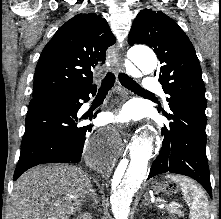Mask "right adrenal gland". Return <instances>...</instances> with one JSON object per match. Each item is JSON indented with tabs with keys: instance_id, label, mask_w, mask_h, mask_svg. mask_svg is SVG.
<instances>
[{
	"instance_id": "1",
	"label": "right adrenal gland",
	"mask_w": 221,
	"mask_h": 219,
	"mask_svg": "<svg viewBox=\"0 0 221 219\" xmlns=\"http://www.w3.org/2000/svg\"><path fill=\"white\" fill-rule=\"evenodd\" d=\"M88 198H90L91 200H93L95 204L98 203L97 197H96V193H95V190H94V189L91 190V192H90Z\"/></svg>"
}]
</instances>
